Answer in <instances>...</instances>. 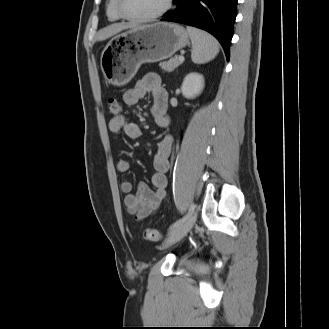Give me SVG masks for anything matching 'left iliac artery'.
<instances>
[{
    "label": "left iliac artery",
    "instance_id": "obj_1",
    "mask_svg": "<svg viewBox=\"0 0 329 329\" xmlns=\"http://www.w3.org/2000/svg\"><path fill=\"white\" fill-rule=\"evenodd\" d=\"M194 209H195V204L192 203L191 206H190L188 214L185 215L184 217L180 218L179 220H177L175 223H173L170 226L169 230H173L177 226L181 225L189 217V215L194 211Z\"/></svg>",
    "mask_w": 329,
    "mask_h": 329
}]
</instances>
